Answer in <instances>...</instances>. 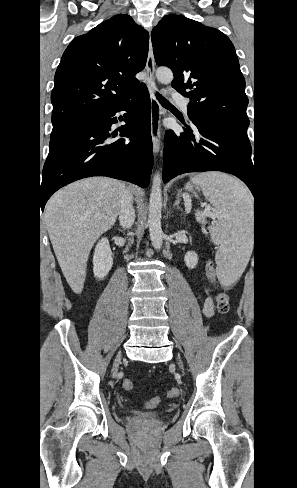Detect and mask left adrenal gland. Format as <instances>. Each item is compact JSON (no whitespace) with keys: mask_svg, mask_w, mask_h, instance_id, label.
<instances>
[{"mask_svg":"<svg viewBox=\"0 0 297 488\" xmlns=\"http://www.w3.org/2000/svg\"><path fill=\"white\" fill-rule=\"evenodd\" d=\"M181 192H182L181 190H178V191H177V197H176V200H175L174 205H173V206H174V207H176L177 209H179V208H180V207H179V204H180V200H181V199H180V197H181Z\"/></svg>","mask_w":297,"mask_h":488,"instance_id":"left-adrenal-gland-1","label":"left adrenal gland"}]
</instances>
